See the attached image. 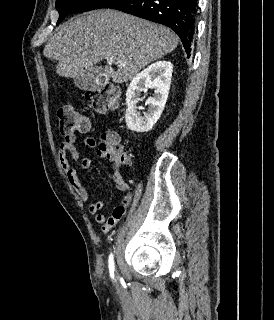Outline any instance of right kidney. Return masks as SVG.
<instances>
[{
    "instance_id": "ca27d5eb",
    "label": "right kidney",
    "mask_w": 274,
    "mask_h": 320,
    "mask_svg": "<svg viewBox=\"0 0 274 320\" xmlns=\"http://www.w3.org/2000/svg\"><path fill=\"white\" fill-rule=\"evenodd\" d=\"M172 72L171 62H154L133 78L126 92L125 122L128 130L139 132V134L152 130L165 108ZM148 88H152L154 94L153 98L146 100L145 104L149 108L144 112V116H141V112L137 110V104L140 100V92H145Z\"/></svg>"
}]
</instances>
